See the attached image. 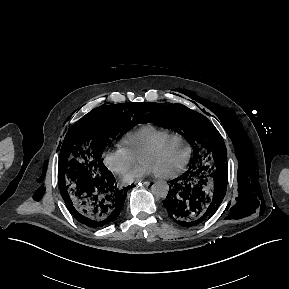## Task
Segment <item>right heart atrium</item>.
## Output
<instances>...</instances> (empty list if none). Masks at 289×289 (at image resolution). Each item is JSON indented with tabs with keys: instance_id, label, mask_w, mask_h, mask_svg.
I'll use <instances>...</instances> for the list:
<instances>
[{
	"instance_id": "obj_1",
	"label": "right heart atrium",
	"mask_w": 289,
	"mask_h": 289,
	"mask_svg": "<svg viewBox=\"0 0 289 289\" xmlns=\"http://www.w3.org/2000/svg\"><path fill=\"white\" fill-rule=\"evenodd\" d=\"M138 160L131 151L122 144L115 148H109L103 152L105 166L117 175L126 173Z\"/></svg>"
}]
</instances>
